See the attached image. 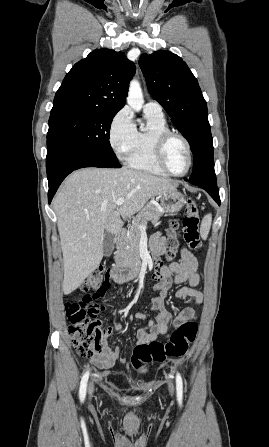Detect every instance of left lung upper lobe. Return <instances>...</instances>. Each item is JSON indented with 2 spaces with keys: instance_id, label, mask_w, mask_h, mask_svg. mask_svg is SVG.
I'll use <instances>...</instances> for the list:
<instances>
[{
  "instance_id": "1",
  "label": "left lung upper lobe",
  "mask_w": 269,
  "mask_h": 447,
  "mask_svg": "<svg viewBox=\"0 0 269 447\" xmlns=\"http://www.w3.org/2000/svg\"><path fill=\"white\" fill-rule=\"evenodd\" d=\"M139 65L149 93L163 106L191 146L194 168L188 181L216 183L207 104L197 79L182 58L169 51L142 54Z\"/></svg>"
}]
</instances>
